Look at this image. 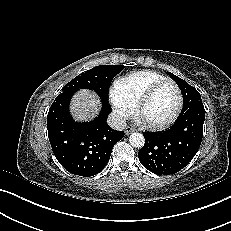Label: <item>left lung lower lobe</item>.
Listing matches in <instances>:
<instances>
[{"mask_svg": "<svg viewBox=\"0 0 231 231\" xmlns=\"http://www.w3.org/2000/svg\"><path fill=\"white\" fill-rule=\"evenodd\" d=\"M177 129L170 132H145L139 150L141 164L157 175H170L183 169L197 153L203 136L204 107H194L178 118Z\"/></svg>", "mask_w": 231, "mask_h": 231, "instance_id": "0a47b994", "label": "left lung lower lobe"}]
</instances>
